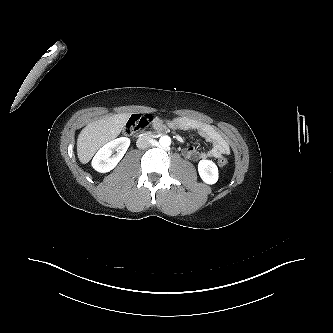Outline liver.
I'll return each instance as SVG.
<instances>
[{
    "label": "liver",
    "mask_w": 333,
    "mask_h": 333,
    "mask_svg": "<svg viewBox=\"0 0 333 333\" xmlns=\"http://www.w3.org/2000/svg\"><path fill=\"white\" fill-rule=\"evenodd\" d=\"M129 118V114H111L89 123L77 139V155L81 163H88L96 151L116 138Z\"/></svg>",
    "instance_id": "1"
}]
</instances>
